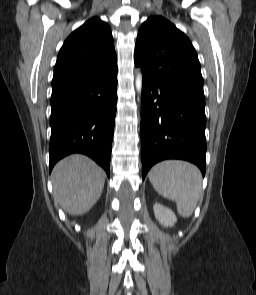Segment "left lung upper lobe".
<instances>
[{"mask_svg": "<svg viewBox=\"0 0 256 295\" xmlns=\"http://www.w3.org/2000/svg\"><path fill=\"white\" fill-rule=\"evenodd\" d=\"M134 60L161 86L205 101L196 51L187 36L165 18L149 17L142 24Z\"/></svg>", "mask_w": 256, "mask_h": 295, "instance_id": "obj_1", "label": "left lung upper lobe"}]
</instances>
